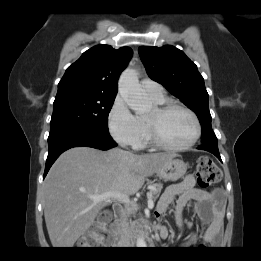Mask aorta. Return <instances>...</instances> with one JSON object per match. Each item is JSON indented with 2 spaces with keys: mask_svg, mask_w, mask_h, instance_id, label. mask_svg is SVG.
I'll return each mask as SVG.
<instances>
[{
  "mask_svg": "<svg viewBox=\"0 0 261 261\" xmlns=\"http://www.w3.org/2000/svg\"><path fill=\"white\" fill-rule=\"evenodd\" d=\"M118 91L128 106L135 112L144 113L150 109L149 102L143 96L135 70L126 69L122 72L118 82ZM137 247H146L143 238H138Z\"/></svg>",
  "mask_w": 261,
  "mask_h": 261,
  "instance_id": "1",
  "label": "aorta"
}]
</instances>
